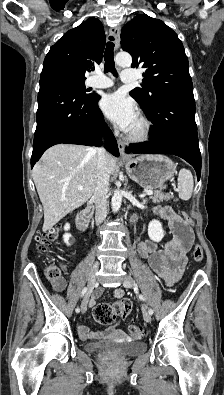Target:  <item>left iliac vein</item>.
Instances as JSON below:
<instances>
[{
  "mask_svg": "<svg viewBox=\"0 0 224 395\" xmlns=\"http://www.w3.org/2000/svg\"><path fill=\"white\" fill-rule=\"evenodd\" d=\"M123 286L125 288H134L135 287V282L130 276H125L123 280ZM142 312H143V318L144 320L149 323L151 322V315L149 314L147 307L143 306L142 307Z\"/></svg>",
  "mask_w": 224,
  "mask_h": 395,
  "instance_id": "obj_1",
  "label": "left iliac vein"
}]
</instances>
